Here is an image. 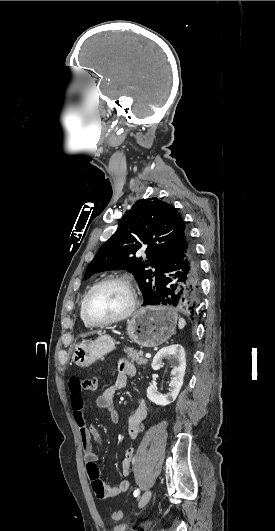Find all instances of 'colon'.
Masks as SVG:
<instances>
[{
  "instance_id": "1",
  "label": "colon",
  "mask_w": 275,
  "mask_h": 531,
  "mask_svg": "<svg viewBox=\"0 0 275 531\" xmlns=\"http://www.w3.org/2000/svg\"><path fill=\"white\" fill-rule=\"evenodd\" d=\"M83 390L84 392H91V393L97 392L98 390L97 379L95 377H86L83 383ZM122 516H123V512L120 510H117L113 513L112 521L114 523H117Z\"/></svg>"
}]
</instances>
